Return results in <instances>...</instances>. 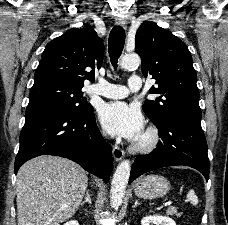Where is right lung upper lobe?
<instances>
[{
	"label": "right lung upper lobe",
	"mask_w": 228,
	"mask_h": 225,
	"mask_svg": "<svg viewBox=\"0 0 228 225\" xmlns=\"http://www.w3.org/2000/svg\"><path fill=\"white\" fill-rule=\"evenodd\" d=\"M103 52V41L91 25L72 28L46 45L34 85L61 82L82 88L85 79L94 81V69L101 67Z\"/></svg>",
	"instance_id": "obj_1"
}]
</instances>
